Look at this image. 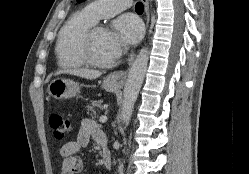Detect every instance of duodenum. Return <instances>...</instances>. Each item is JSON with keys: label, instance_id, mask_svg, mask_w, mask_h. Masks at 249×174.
I'll return each instance as SVG.
<instances>
[{"label": "duodenum", "instance_id": "1", "mask_svg": "<svg viewBox=\"0 0 249 174\" xmlns=\"http://www.w3.org/2000/svg\"><path fill=\"white\" fill-rule=\"evenodd\" d=\"M102 146V160L104 167L108 170L112 169V160H111V155L110 151L106 146V142L101 144Z\"/></svg>", "mask_w": 249, "mask_h": 174}]
</instances>
